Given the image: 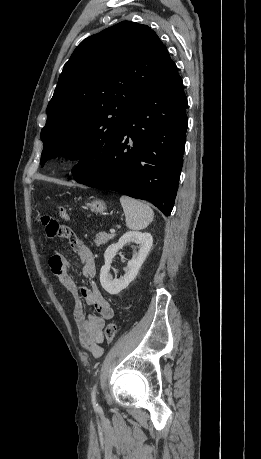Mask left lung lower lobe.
Returning <instances> with one entry per match:
<instances>
[{
	"label": "left lung lower lobe",
	"mask_w": 261,
	"mask_h": 459,
	"mask_svg": "<svg viewBox=\"0 0 261 459\" xmlns=\"http://www.w3.org/2000/svg\"><path fill=\"white\" fill-rule=\"evenodd\" d=\"M186 107L174 65L134 109L100 166L91 173L72 174V179L150 201L169 216L183 164Z\"/></svg>",
	"instance_id": "left-lung-lower-lobe-1"
}]
</instances>
